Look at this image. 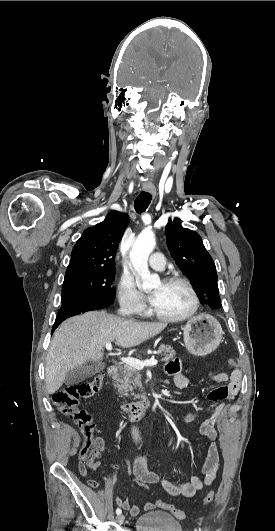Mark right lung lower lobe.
Returning <instances> with one entry per match:
<instances>
[{
	"instance_id": "obj_1",
	"label": "right lung lower lobe",
	"mask_w": 275,
	"mask_h": 531,
	"mask_svg": "<svg viewBox=\"0 0 275 531\" xmlns=\"http://www.w3.org/2000/svg\"><path fill=\"white\" fill-rule=\"evenodd\" d=\"M107 306L108 305L88 301L86 299L78 298V297L63 299L61 308L58 311L55 323L52 328V333L59 326L60 323H62L65 319L69 317H72L74 315L84 313L87 311L102 309Z\"/></svg>"
}]
</instances>
